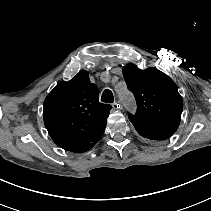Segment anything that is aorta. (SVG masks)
<instances>
[{"label":"aorta","mask_w":211,"mask_h":211,"mask_svg":"<svg viewBox=\"0 0 211 211\" xmlns=\"http://www.w3.org/2000/svg\"><path fill=\"white\" fill-rule=\"evenodd\" d=\"M118 95L120 99L125 103L128 109L133 110L134 109V98L132 95L125 89V90H119Z\"/></svg>","instance_id":"obj_1"}]
</instances>
